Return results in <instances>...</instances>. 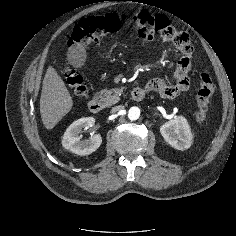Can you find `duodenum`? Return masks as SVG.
<instances>
[{"label":"duodenum","instance_id":"obj_1","mask_svg":"<svg viewBox=\"0 0 236 236\" xmlns=\"http://www.w3.org/2000/svg\"><path fill=\"white\" fill-rule=\"evenodd\" d=\"M144 95H145V90L141 87L134 88L131 93L132 99L135 101L143 99ZM88 108L92 113L96 114L100 113L103 110L104 104L99 98H92L88 102Z\"/></svg>","mask_w":236,"mask_h":236}]
</instances>
